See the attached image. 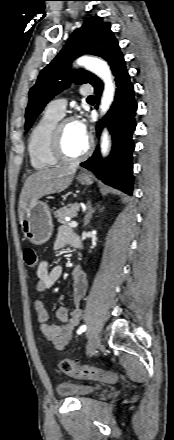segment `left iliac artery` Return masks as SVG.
Instances as JSON below:
<instances>
[{"mask_svg": "<svg viewBox=\"0 0 174 440\" xmlns=\"http://www.w3.org/2000/svg\"><path fill=\"white\" fill-rule=\"evenodd\" d=\"M86 328H87L86 325H82V326H80V328L78 329L77 333H78V334L83 333L84 331H86Z\"/></svg>", "mask_w": 174, "mask_h": 440, "instance_id": "1", "label": "left iliac artery"}]
</instances>
